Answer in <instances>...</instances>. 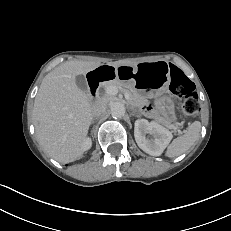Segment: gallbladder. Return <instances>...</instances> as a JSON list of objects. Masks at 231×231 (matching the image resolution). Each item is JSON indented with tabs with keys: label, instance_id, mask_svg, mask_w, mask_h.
<instances>
[{
	"label": "gallbladder",
	"instance_id": "obj_1",
	"mask_svg": "<svg viewBox=\"0 0 231 231\" xmlns=\"http://www.w3.org/2000/svg\"><path fill=\"white\" fill-rule=\"evenodd\" d=\"M76 85L78 86L79 89H81L84 92L88 90L87 81L85 77L82 75L76 76Z\"/></svg>",
	"mask_w": 231,
	"mask_h": 231
}]
</instances>
